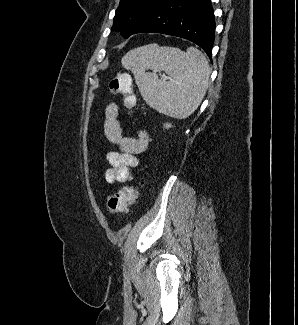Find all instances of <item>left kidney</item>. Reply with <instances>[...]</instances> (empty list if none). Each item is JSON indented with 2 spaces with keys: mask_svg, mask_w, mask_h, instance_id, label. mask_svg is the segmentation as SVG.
<instances>
[{
  "mask_svg": "<svg viewBox=\"0 0 298 325\" xmlns=\"http://www.w3.org/2000/svg\"><path fill=\"white\" fill-rule=\"evenodd\" d=\"M165 128H170V126H172V124H170V122H167V124H164Z\"/></svg>",
  "mask_w": 298,
  "mask_h": 325,
  "instance_id": "5707ae66",
  "label": "left kidney"
}]
</instances>
